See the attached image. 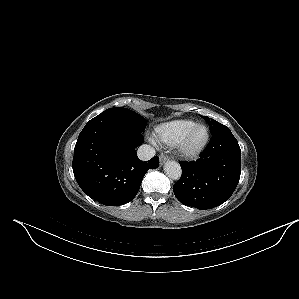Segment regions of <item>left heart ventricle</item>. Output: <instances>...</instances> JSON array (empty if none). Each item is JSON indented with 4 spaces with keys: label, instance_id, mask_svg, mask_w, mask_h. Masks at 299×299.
<instances>
[{
    "label": "left heart ventricle",
    "instance_id": "left-heart-ventricle-1",
    "mask_svg": "<svg viewBox=\"0 0 299 299\" xmlns=\"http://www.w3.org/2000/svg\"><path fill=\"white\" fill-rule=\"evenodd\" d=\"M204 137H205V130L203 128L196 130L190 140V145L192 147L199 145L203 141Z\"/></svg>",
    "mask_w": 299,
    "mask_h": 299
}]
</instances>
